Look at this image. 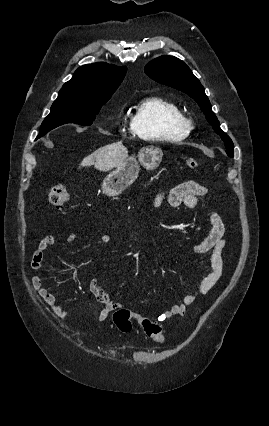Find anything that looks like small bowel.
Listing matches in <instances>:
<instances>
[{"label":"small bowel","instance_id":"obj_1","mask_svg":"<svg viewBox=\"0 0 269 426\" xmlns=\"http://www.w3.org/2000/svg\"><path fill=\"white\" fill-rule=\"evenodd\" d=\"M207 193V188L201 184L192 180L185 181L178 184L168 192L158 193L154 205L155 207H159L164 201H167L169 206L172 208L184 205L188 209H196L199 206L200 199L206 196ZM208 220L210 224V231L204 239L194 245L193 251L198 255L210 253L209 269L206 270L201 277L196 289L185 295L182 302L174 304L169 309L158 315L157 318L159 321H166L175 316L184 315L187 308L196 301L197 296L207 294L223 275V252L226 247V241L224 239L226 231L225 224L216 213H211ZM77 235V233H72L68 237V241L73 242L77 238ZM99 240L102 243H108L111 240V235L103 233L100 235ZM55 243L56 240L53 236H46L39 242L31 259V268L36 272L31 279V283L34 290L49 305L51 312L55 316H64L66 313L64 307L59 304L57 297L43 285L42 278L39 274V271L42 268L45 252L47 249L55 245ZM90 290L103 304L99 320H105L114 310L121 306L120 303L111 299L110 295L103 288L101 281L98 278H94L91 281ZM135 318L140 320L141 316L136 314Z\"/></svg>","mask_w":269,"mask_h":426}]
</instances>
